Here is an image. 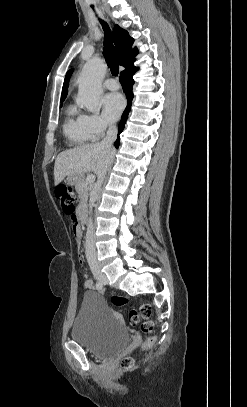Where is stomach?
Masks as SVG:
<instances>
[{
  "mask_svg": "<svg viewBox=\"0 0 247 407\" xmlns=\"http://www.w3.org/2000/svg\"><path fill=\"white\" fill-rule=\"evenodd\" d=\"M83 180L82 176L79 175H69L67 176L66 182L70 185H76Z\"/></svg>",
  "mask_w": 247,
  "mask_h": 407,
  "instance_id": "obj_1",
  "label": "stomach"
}]
</instances>
